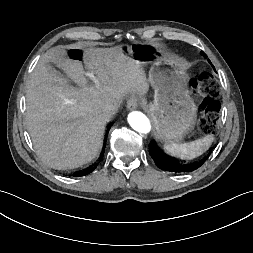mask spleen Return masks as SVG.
<instances>
[{"label": "spleen", "instance_id": "spleen-1", "mask_svg": "<svg viewBox=\"0 0 253 253\" xmlns=\"http://www.w3.org/2000/svg\"><path fill=\"white\" fill-rule=\"evenodd\" d=\"M213 137L207 135L204 138L183 144H166L164 150L175 157L181 159H193L203 154L210 146Z\"/></svg>", "mask_w": 253, "mask_h": 253}]
</instances>
